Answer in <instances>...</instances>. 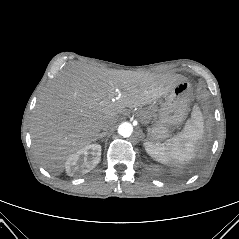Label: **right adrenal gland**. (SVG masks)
<instances>
[{
	"label": "right adrenal gland",
	"instance_id": "right-adrenal-gland-1",
	"mask_svg": "<svg viewBox=\"0 0 239 239\" xmlns=\"http://www.w3.org/2000/svg\"><path fill=\"white\" fill-rule=\"evenodd\" d=\"M105 136H106V133H105V132L100 133L99 136H98V138H97V140H100V139L103 140Z\"/></svg>",
	"mask_w": 239,
	"mask_h": 239
}]
</instances>
